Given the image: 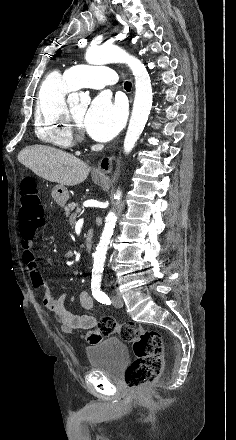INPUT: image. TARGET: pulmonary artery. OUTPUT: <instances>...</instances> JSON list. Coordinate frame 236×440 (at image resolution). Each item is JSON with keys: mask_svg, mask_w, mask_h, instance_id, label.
I'll list each match as a JSON object with an SVG mask.
<instances>
[{"mask_svg": "<svg viewBox=\"0 0 236 440\" xmlns=\"http://www.w3.org/2000/svg\"><path fill=\"white\" fill-rule=\"evenodd\" d=\"M67 81L74 87L102 90L116 83V72L108 66L76 65L65 71Z\"/></svg>", "mask_w": 236, "mask_h": 440, "instance_id": "e3ab8cb5", "label": "pulmonary artery"}]
</instances>
